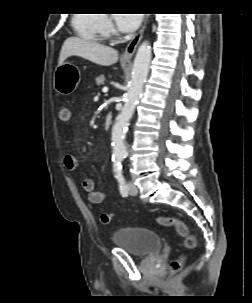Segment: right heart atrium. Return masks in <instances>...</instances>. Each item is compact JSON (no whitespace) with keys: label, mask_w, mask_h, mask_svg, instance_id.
Masks as SVG:
<instances>
[{"label":"right heart atrium","mask_w":252,"mask_h":303,"mask_svg":"<svg viewBox=\"0 0 252 303\" xmlns=\"http://www.w3.org/2000/svg\"><path fill=\"white\" fill-rule=\"evenodd\" d=\"M105 32H110L112 29V25L109 19L105 18L104 23H103Z\"/></svg>","instance_id":"d8ad5b80"}]
</instances>
